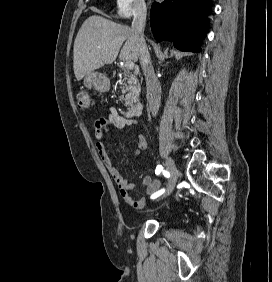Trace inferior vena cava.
Segmentation results:
<instances>
[{"mask_svg":"<svg viewBox=\"0 0 272 282\" xmlns=\"http://www.w3.org/2000/svg\"><path fill=\"white\" fill-rule=\"evenodd\" d=\"M147 8L144 1H139L135 6L132 31L140 45V64L147 85V103L153 116H156L161 101V85L154 73V68L150 60V54L144 38V28L146 24Z\"/></svg>","mask_w":272,"mask_h":282,"instance_id":"obj_1","label":"inferior vena cava"}]
</instances>
